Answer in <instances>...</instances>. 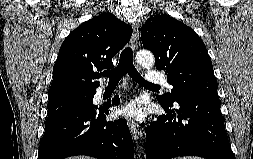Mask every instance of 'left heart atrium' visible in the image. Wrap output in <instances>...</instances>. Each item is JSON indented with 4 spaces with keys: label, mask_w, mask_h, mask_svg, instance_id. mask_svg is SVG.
<instances>
[{
    "label": "left heart atrium",
    "mask_w": 253,
    "mask_h": 159,
    "mask_svg": "<svg viewBox=\"0 0 253 159\" xmlns=\"http://www.w3.org/2000/svg\"><path fill=\"white\" fill-rule=\"evenodd\" d=\"M120 113L127 118L142 120L146 116L147 106L142 99L137 98L122 106Z\"/></svg>",
    "instance_id": "obj_1"
}]
</instances>
